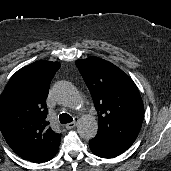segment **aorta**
I'll return each mask as SVG.
<instances>
[{
  "label": "aorta",
  "mask_w": 171,
  "mask_h": 171,
  "mask_svg": "<svg viewBox=\"0 0 171 171\" xmlns=\"http://www.w3.org/2000/svg\"><path fill=\"white\" fill-rule=\"evenodd\" d=\"M55 97L57 101L74 110H79L82 100L77 90L68 82H60L55 86ZM98 123L92 116H83L79 119L77 132L83 139L89 140L96 136Z\"/></svg>",
  "instance_id": "1"
}]
</instances>
